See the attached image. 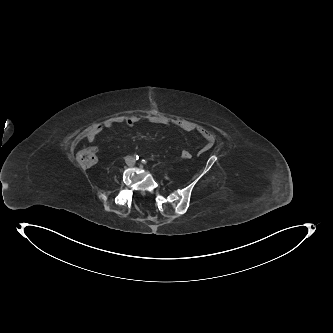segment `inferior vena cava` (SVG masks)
Here are the masks:
<instances>
[{
    "label": "inferior vena cava",
    "instance_id": "602c4592",
    "mask_svg": "<svg viewBox=\"0 0 333 333\" xmlns=\"http://www.w3.org/2000/svg\"><path fill=\"white\" fill-rule=\"evenodd\" d=\"M124 160H125V163H126L128 166H132V165H134V163H135V159H134V157H133V156H130V155H127V156L124 158Z\"/></svg>",
    "mask_w": 333,
    "mask_h": 333
}]
</instances>
